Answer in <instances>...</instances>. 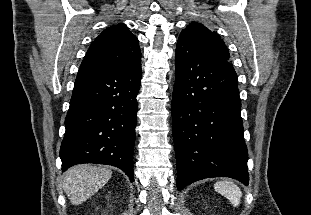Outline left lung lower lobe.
<instances>
[{
  "label": "left lung lower lobe",
  "mask_w": 311,
  "mask_h": 215,
  "mask_svg": "<svg viewBox=\"0 0 311 215\" xmlns=\"http://www.w3.org/2000/svg\"><path fill=\"white\" fill-rule=\"evenodd\" d=\"M237 74L230 61L188 39L176 47L172 131L177 188L209 177L249 184Z\"/></svg>",
  "instance_id": "obj_1"
}]
</instances>
